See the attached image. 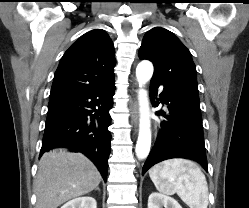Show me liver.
Here are the masks:
<instances>
[{"label": "liver", "mask_w": 249, "mask_h": 208, "mask_svg": "<svg viewBox=\"0 0 249 208\" xmlns=\"http://www.w3.org/2000/svg\"><path fill=\"white\" fill-rule=\"evenodd\" d=\"M100 181L99 171L83 154L53 149L44 153L38 164L35 208H57L70 199L90 193Z\"/></svg>", "instance_id": "obj_1"}]
</instances>
